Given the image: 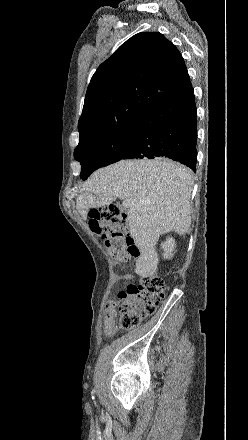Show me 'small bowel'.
Returning a JSON list of instances; mask_svg holds the SVG:
<instances>
[{
  "mask_svg": "<svg viewBox=\"0 0 248 440\" xmlns=\"http://www.w3.org/2000/svg\"><path fill=\"white\" fill-rule=\"evenodd\" d=\"M117 310L113 302L108 303L105 311L104 331L106 335H112L117 331Z\"/></svg>",
  "mask_w": 248,
  "mask_h": 440,
  "instance_id": "c3829d8e",
  "label": "small bowel"
}]
</instances>
